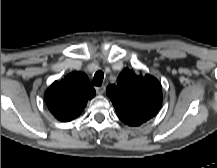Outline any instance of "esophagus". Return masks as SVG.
I'll use <instances>...</instances> for the list:
<instances>
[{"label":"esophagus","mask_w":217,"mask_h":168,"mask_svg":"<svg viewBox=\"0 0 217 168\" xmlns=\"http://www.w3.org/2000/svg\"><path fill=\"white\" fill-rule=\"evenodd\" d=\"M105 86L104 85H102V86H100V87H97L96 88V93L98 94V95H102L104 92H105Z\"/></svg>","instance_id":"esophagus-1"}]
</instances>
